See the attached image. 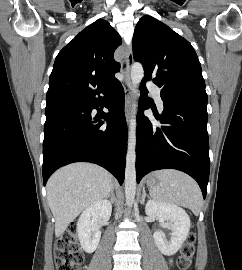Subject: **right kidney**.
I'll return each instance as SVG.
<instances>
[{
    "mask_svg": "<svg viewBox=\"0 0 242 270\" xmlns=\"http://www.w3.org/2000/svg\"><path fill=\"white\" fill-rule=\"evenodd\" d=\"M111 211V202L104 199L88 206L79 217L77 233L80 244L86 252L90 253L96 250L101 238L98 221L107 220Z\"/></svg>",
    "mask_w": 242,
    "mask_h": 270,
    "instance_id": "1",
    "label": "right kidney"
}]
</instances>
